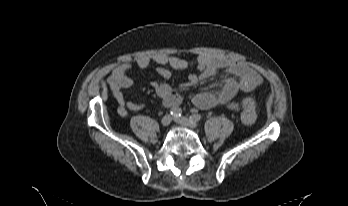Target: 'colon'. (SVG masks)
I'll return each mask as SVG.
<instances>
[{
	"label": "colon",
	"mask_w": 348,
	"mask_h": 206,
	"mask_svg": "<svg viewBox=\"0 0 348 206\" xmlns=\"http://www.w3.org/2000/svg\"><path fill=\"white\" fill-rule=\"evenodd\" d=\"M241 118L246 125H252L255 122L254 105L249 99H242L241 101Z\"/></svg>",
	"instance_id": "obj_1"
}]
</instances>
